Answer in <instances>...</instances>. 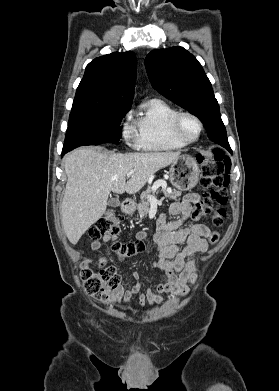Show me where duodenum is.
<instances>
[{
    "instance_id": "410a0bca",
    "label": "duodenum",
    "mask_w": 279,
    "mask_h": 391,
    "mask_svg": "<svg viewBox=\"0 0 279 391\" xmlns=\"http://www.w3.org/2000/svg\"><path fill=\"white\" fill-rule=\"evenodd\" d=\"M133 201L129 200V199H126L124 200L123 202V211L126 213V214H129L132 212L133 210Z\"/></svg>"
}]
</instances>
